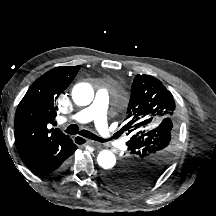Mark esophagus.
<instances>
[{
	"label": "esophagus",
	"mask_w": 216,
	"mask_h": 216,
	"mask_svg": "<svg viewBox=\"0 0 216 216\" xmlns=\"http://www.w3.org/2000/svg\"><path fill=\"white\" fill-rule=\"evenodd\" d=\"M80 141H83L84 144L94 145V146H95L96 148H98V149L101 148V146H100L98 143H96V142H94V141H92V140L85 139V138H83V137H81V136H75V137H74V142H80ZM83 143H82V144H83ZM77 144H78V143H77Z\"/></svg>",
	"instance_id": "esophagus-1"
}]
</instances>
